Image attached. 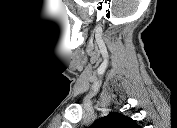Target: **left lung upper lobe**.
Wrapping results in <instances>:
<instances>
[{"label":"left lung upper lobe","mask_w":177,"mask_h":128,"mask_svg":"<svg viewBox=\"0 0 177 128\" xmlns=\"http://www.w3.org/2000/svg\"><path fill=\"white\" fill-rule=\"evenodd\" d=\"M93 128H138L131 118L117 112H112L106 117L96 120Z\"/></svg>","instance_id":"5c2ea615"}]
</instances>
